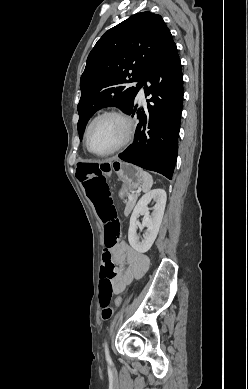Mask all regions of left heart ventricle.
I'll use <instances>...</instances> for the list:
<instances>
[{
    "label": "left heart ventricle",
    "mask_w": 248,
    "mask_h": 389,
    "mask_svg": "<svg viewBox=\"0 0 248 389\" xmlns=\"http://www.w3.org/2000/svg\"><path fill=\"white\" fill-rule=\"evenodd\" d=\"M124 133V125L119 119L114 117L102 118L91 128L89 146L96 152L107 151L122 140Z\"/></svg>",
    "instance_id": "b2bd125f"
}]
</instances>
